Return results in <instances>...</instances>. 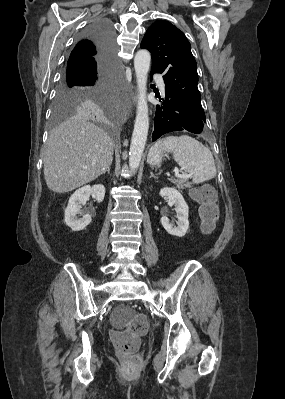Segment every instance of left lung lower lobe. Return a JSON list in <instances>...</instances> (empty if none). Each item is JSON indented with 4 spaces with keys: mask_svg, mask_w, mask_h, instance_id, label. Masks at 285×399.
<instances>
[{
    "mask_svg": "<svg viewBox=\"0 0 285 399\" xmlns=\"http://www.w3.org/2000/svg\"><path fill=\"white\" fill-rule=\"evenodd\" d=\"M153 73L155 72L151 71V74ZM161 103L156 106L152 141L173 131H189L197 134L207 131L203 119L166 85L165 98Z\"/></svg>",
    "mask_w": 285,
    "mask_h": 399,
    "instance_id": "obj_1",
    "label": "left lung lower lobe"
}]
</instances>
